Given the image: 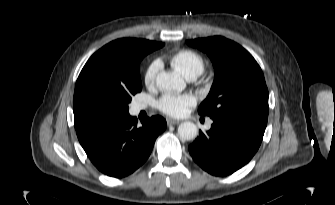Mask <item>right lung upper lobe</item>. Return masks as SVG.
<instances>
[{
	"label": "right lung upper lobe",
	"mask_w": 335,
	"mask_h": 205,
	"mask_svg": "<svg viewBox=\"0 0 335 205\" xmlns=\"http://www.w3.org/2000/svg\"><path fill=\"white\" fill-rule=\"evenodd\" d=\"M164 44L135 38H122L110 42L87 61L76 82L73 100L75 129H82L96 124L81 121L79 102L84 93L94 87L121 83L132 70L134 57L146 49H158Z\"/></svg>",
	"instance_id": "obj_1"
}]
</instances>
